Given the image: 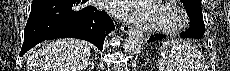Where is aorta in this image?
Masks as SVG:
<instances>
[{
	"instance_id": "obj_1",
	"label": "aorta",
	"mask_w": 230,
	"mask_h": 71,
	"mask_svg": "<svg viewBox=\"0 0 230 71\" xmlns=\"http://www.w3.org/2000/svg\"><path fill=\"white\" fill-rule=\"evenodd\" d=\"M144 42L143 32L140 30H132L129 32L125 40L124 49L128 54H136L140 51Z\"/></svg>"
}]
</instances>
